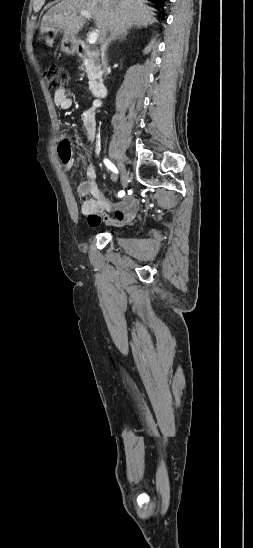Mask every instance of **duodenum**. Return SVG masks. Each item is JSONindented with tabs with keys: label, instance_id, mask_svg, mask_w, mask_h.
Listing matches in <instances>:
<instances>
[{
	"label": "duodenum",
	"instance_id": "obj_1",
	"mask_svg": "<svg viewBox=\"0 0 253 548\" xmlns=\"http://www.w3.org/2000/svg\"><path fill=\"white\" fill-rule=\"evenodd\" d=\"M78 54L82 57H88V56H92V55H98V52L97 51H92V50L88 49L85 46H80L78 48ZM92 92L96 97H100V98L105 97L106 94H107L106 88L101 84L95 85L92 89Z\"/></svg>",
	"mask_w": 253,
	"mask_h": 548
}]
</instances>
